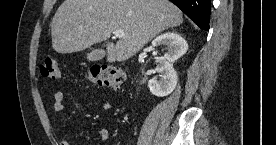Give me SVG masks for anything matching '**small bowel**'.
<instances>
[{
    "instance_id": "1",
    "label": "small bowel",
    "mask_w": 276,
    "mask_h": 145,
    "mask_svg": "<svg viewBox=\"0 0 276 145\" xmlns=\"http://www.w3.org/2000/svg\"><path fill=\"white\" fill-rule=\"evenodd\" d=\"M54 104L53 109L55 113H60L64 109V94L60 91H57L54 93ZM101 107L103 110H108L111 107V104L108 99L103 98L101 100ZM98 137L102 140H108L112 137L110 131L106 128L99 129L98 131ZM60 145H70L67 140H62L60 142Z\"/></svg>"
}]
</instances>
